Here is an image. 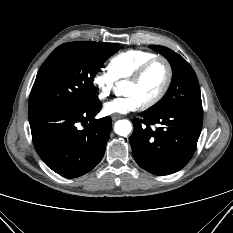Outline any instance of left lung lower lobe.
Here are the masks:
<instances>
[{
    "label": "left lung lower lobe",
    "mask_w": 233,
    "mask_h": 233,
    "mask_svg": "<svg viewBox=\"0 0 233 233\" xmlns=\"http://www.w3.org/2000/svg\"><path fill=\"white\" fill-rule=\"evenodd\" d=\"M133 119L130 137L136 163L155 175H168L182 169L192 158L203 123V109L179 107L160 114L142 112ZM159 124L152 130L150 125Z\"/></svg>",
    "instance_id": "1"
}]
</instances>
